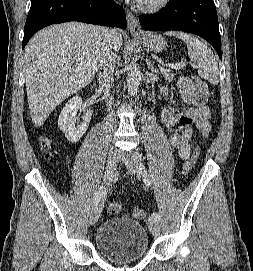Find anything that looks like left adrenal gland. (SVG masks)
I'll list each match as a JSON object with an SVG mask.
<instances>
[{
	"instance_id": "a2214340",
	"label": "left adrenal gland",
	"mask_w": 253,
	"mask_h": 271,
	"mask_svg": "<svg viewBox=\"0 0 253 271\" xmlns=\"http://www.w3.org/2000/svg\"><path fill=\"white\" fill-rule=\"evenodd\" d=\"M146 62H147V67L149 70H151L152 73H158L159 70L154 67V64H151V61L149 60V58L146 59Z\"/></svg>"
}]
</instances>
